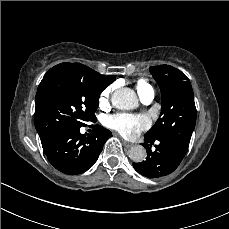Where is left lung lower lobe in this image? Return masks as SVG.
<instances>
[{"label": "left lung lower lobe", "instance_id": "1", "mask_svg": "<svg viewBox=\"0 0 229 229\" xmlns=\"http://www.w3.org/2000/svg\"><path fill=\"white\" fill-rule=\"evenodd\" d=\"M147 158L140 163H133L135 170L148 178H158L172 173L184 158L187 150L180 148L172 141L152 139L144 136ZM155 145V150L151 146Z\"/></svg>", "mask_w": 229, "mask_h": 229}]
</instances>
